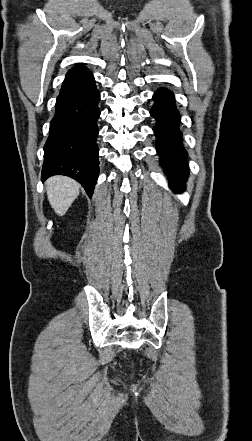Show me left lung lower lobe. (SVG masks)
Returning a JSON list of instances; mask_svg holds the SVG:
<instances>
[{"label":"left lung lower lobe","instance_id":"obj_1","mask_svg":"<svg viewBox=\"0 0 252 441\" xmlns=\"http://www.w3.org/2000/svg\"><path fill=\"white\" fill-rule=\"evenodd\" d=\"M154 105L150 115L157 121L153 131L157 137L156 150L165 168L170 187L175 192L185 189L189 171L186 163L187 151L182 143L179 128L180 114L176 108L174 94L165 88L158 89L153 95Z\"/></svg>","mask_w":252,"mask_h":441}]
</instances>
